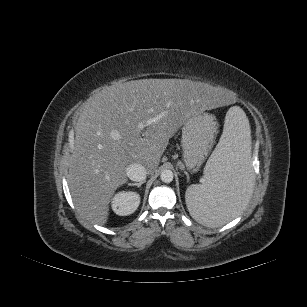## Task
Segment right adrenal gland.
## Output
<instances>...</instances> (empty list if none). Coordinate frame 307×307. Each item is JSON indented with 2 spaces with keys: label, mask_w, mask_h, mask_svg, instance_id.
I'll return each instance as SVG.
<instances>
[{
  "label": "right adrenal gland",
  "mask_w": 307,
  "mask_h": 307,
  "mask_svg": "<svg viewBox=\"0 0 307 307\" xmlns=\"http://www.w3.org/2000/svg\"><path fill=\"white\" fill-rule=\"evenodd\" d=\"M145 181H141L139 183H128L129 186H137L138 188L144 183Z\"/></svg>",
  "instance_id": "right-adrenal-gland-1"
}]
</instances>
